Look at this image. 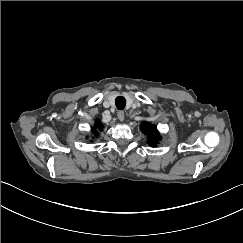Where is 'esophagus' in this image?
<instances>
[{
  "mask_svg": "<svg viewBox=\"0 0 243 243\" xmlns=\"http://www.w3.org/2000/svg\"><path fill=\"white\" fill-rule=\"evenodd\" d=\"M117 116H118V119H119L121 122L124 121L125 114H124L123 111H118Z\"/></svg>",
  "mask_w": 243,
  "mask_h": 243,
  "instance_id": "obj_1",
  "label": "esophagus"
}]
</instances>
